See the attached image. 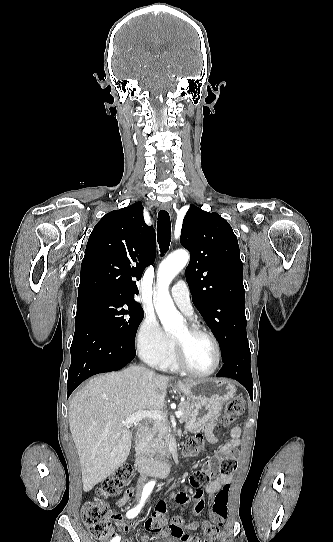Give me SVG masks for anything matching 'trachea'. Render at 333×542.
<instances>
[{
	"label": "trachea",
	"instance_id": "1",
	"mask_svg": "<svg viewBox=\"0 0 333 542\" xmlns=\"http://www.w3.org/2000/svg\"><path fill=\"white\" fill-rule=\"evenodd\" d=\"M157 237L160 251L165 253L169 249L171 239V222L166 210L158 213Z\"/></svg>",
	"mask_w": 333,
	"mask_h": 542
}]
</instances>
